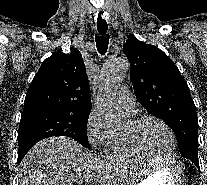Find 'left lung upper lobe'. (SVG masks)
<instances>
[{"instance_id":"left-lung-upper-lobe-1","label":"left lung upper lobe","mask_w":207,"mask_h":185,"mask_svg":"<svg viewBox=\"0 0 207 185\" xmlns=\"http://www.w3.org/2000/svg\"><path fill=\"white\" fill-rule=\"evenodd\" d=\"M140 104L165 121L176 135L181 155L198 156V119L187 82L160 49L130 35L123 46Z\"/></svg>"}]
</instances>
